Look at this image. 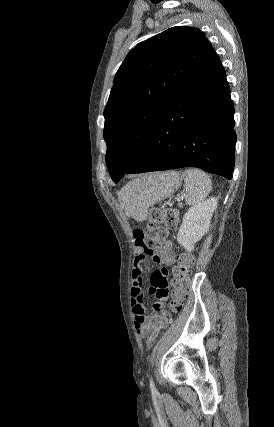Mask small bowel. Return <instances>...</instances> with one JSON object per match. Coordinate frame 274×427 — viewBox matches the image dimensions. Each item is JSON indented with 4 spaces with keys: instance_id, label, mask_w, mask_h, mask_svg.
I'll return each instance as SVG.
<instances>
[{
    "instance_id": "c3829d8e",
    "label": "small bowel",
    "mask_w": 274,
    "mask_h": 427,
    "mask_svg": "<svg viewBox=\"0 0 274 427\" xmlns=\"http://www.w3.org/2000/svg\"><path fill=\"white\" fill-rule=\"evenodd\" d=\"M152 254H154L151 258V263L153 265H160L161 263L170 265L176 260L175 253L169 250V247L156 248L154 251L150 248L145 249L142 244H139L136 247L131 287L132 311L135 327L143 337H148V332L153 331L152 323L147 317L148 309L145 305L144 294L141 288L143 283V273H145L147 269L145 266L147 263L146 256L150 257ZM154 274L155 275H148L146 277V282L150 284V293L158 294V301H150L149 309L163 310L164 302H168L169 300L168 290L171 287V282L169 277L166 275L167 273L165 269H157Z\"/></svg>"
}]
</instances>
